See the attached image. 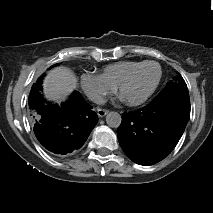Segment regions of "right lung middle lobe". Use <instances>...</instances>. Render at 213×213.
Returning <instances> with one entry per match:
<instances>
[{
    "label": "right lung middle lobe",
    "mask_w": 213,
    "mask_h": 213,
    "mask_svg": "<svg viewBox=\"0 0 213 213\" xmlns=\"http://www.w3.org/2000/svg\"><path fill=\"white\" fill-rule=\"evenodd\" d=\"M56 65H59V64H55V65H53L52 67H54V66H56ZM40 78L43 79L42 77H40ZM40 78H39V79H40ZM39 79H38V80H39Z\"/></svg>",
    "instance_id": "right-lung-middle-lobe-1"
}]
</instances>
